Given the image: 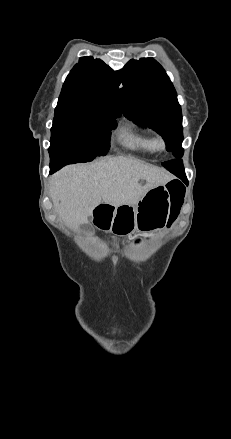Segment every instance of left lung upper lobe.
Listing matches in <instances>:
<instances>
[{"instance_id":"5c2ea615","label":"left lung upper lobe","mask_w":231,"mask_h":439,"mask_svg":"<svg viewBox=\"0 0 231 439\" xmlns=\"http://www.w3.org/2000/svg\"><path fill=\"white\" fill-rule=\"evenodd\" d=\"M117 74L124 115L154 129L164 138L167 150L176 158L182 157L181 107L163 67L153 58L132 59Z\"/></svg>"}]
</instances>
